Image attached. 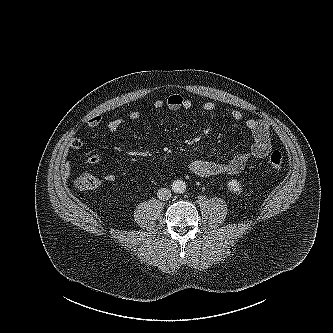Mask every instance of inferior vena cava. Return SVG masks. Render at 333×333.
Returning a JSON list of instances; mask_svg holds the SVG:
<instances>
[{"mask_svg": "<svg viewBox=\"0 0 333 333\" xmlns=\"http://www.w3.org/2000/svg\"><path fill=\"white\" fill-rule=\"evenodd\" d=\"M171 190L168 188H160L157 192V196L160 200H168L171 198Z\"/></svg>", "mask_w": 333, "mask_h": 333, "instance_id": "1", "label": "inferior vena cava"}]
</instances>
